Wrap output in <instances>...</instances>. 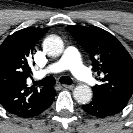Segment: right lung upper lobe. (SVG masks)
Wrapping results in <instances>:
<instances>
[{
	"mask_svg": "<svg viewBox=\"0 0 133 133\" xmlns=\"http://www.w3.org/2000/svg\"><path fill=\"white\" fill-rule=\"evenodd\" d=\"M48 28H25L8 36L0 45V103L19 117L39 114L50 102L53 87H28L31 56L36 42Z\"/></svg>",
	"mask_w": 133,
	"mask_h": 133,
	"instance_id": "1",
	"label": "right lung upper lobe"
}]
</instances>
